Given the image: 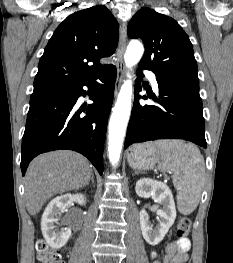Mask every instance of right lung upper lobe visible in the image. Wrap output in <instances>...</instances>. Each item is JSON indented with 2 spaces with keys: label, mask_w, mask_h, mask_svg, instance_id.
Returning a JSON list of instances; mask_svg holds the SVG:
<instances>
[{
  "label": "right lung upper lobe",
  "mask_w": 233,
  "mask_h": 263,
  "mask_svg": "<svg viewBox=\"0 0 233 263\" xmlns=\"http://www.w3.org/2000/svg\"><path fill=\"white\" fill-rule=\"evenodd\" d=\"M118 34L117 20L103 5L68 16L40 58L32 94L94 79L107 67L100 59L114 53Z\"/></svg>",
  "instance_id": "cb5924a9"
}]
</instances>
